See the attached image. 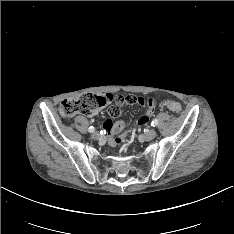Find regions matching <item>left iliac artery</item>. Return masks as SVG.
<instances>
[{
	"label": "left iliac artery",
	"instance_id": "44dca946",
	"mask_svg": "<svg viewBox=\"0 0 234 234\" xmlns=\"http://www.w3.org/2000/svg\"><path fill=\"white\" fill-rule=\"evenodd\" d=\"M158 125V120L157 119H154L151 123V126L155 127Z\"/></svg>",
	"mask_w": 234,
	"mask_h": 234
}]
</instances>
